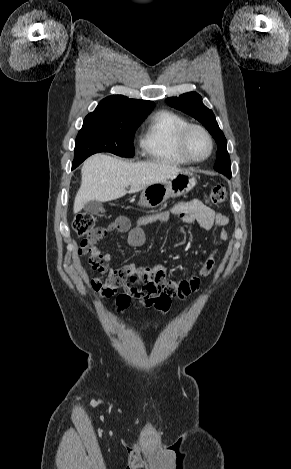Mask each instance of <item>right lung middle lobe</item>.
Here are the masks:
<instances>
[{"label": "right lung middle lobe", "instance_id": "obj_1", "mask_svg": "<svg viewBox=\"0 0 291 469\" xmlns=\"http://www.w3.org/2000/svg\"><path fill=\"white\" fill-rule=\"evenodd\" d=\"M143 119L85 117L76 137L72 169L97 152H111L121 157L134 156L133 137Z\"/></svg>", "mask_w": 291, "mask_h": 469}]
</instances>
